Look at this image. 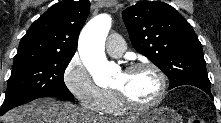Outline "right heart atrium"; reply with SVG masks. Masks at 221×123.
I'll use <instances>...</instances> for the list:
<instances>
[{"mask_svg":"<svg viewBox=\"0 0 221 123\" xmlns=\"http://www.w3.org/2000/svg\"><path fill=\"white\" fill-rule=\"evenodd\" d=\"M63 80L67 89L84 108L94 112H103L107 90L95 84L89 71L77 56H74L67 64Z\"/></svg>","mask_w":221,"mask_h":123,"instance_id":"right-heart-atrium-1","label":"right heart atrium"}]
</instances>
